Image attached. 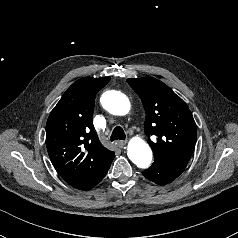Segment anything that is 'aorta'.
I'll return each mask as SVG.
<instances>
[{"label":"aorta","instance_id":"762f6f07","mask_svg":"<svg viewBox=\"0 0 238 238\" xmlns=\"http://www.w3.org/2000/svg\"><path fill=\"white\" fill-rule=\"evenodd\" d=\"M102 105L111 114L126 115L130 110L129 99L118 91H106L102 95ZM128 157L139 168H147L152 161L149 145L140 138H133L128 144Z\"/></svg>","mask_w":238,"mask_h":238}]
</instances>
